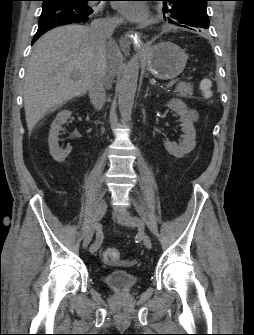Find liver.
<instances>
[{"mask_svg":"<svg viewBox=\"0 0 254 335\" xmlns=\"http://www.w3.org/2000/svg\"><path fill=\"white\" fill-rule=\"evenodd\" d=\"M121 59L115 41L94 43L86 26L66 25L43 35L29 59L23 87L28 130H33L49 111L84 95L100 63L106 67L110 88Z\"/></svg>","mask_w":254,"mask_h":335,"instance_id":"6515ba94","label":"liver"}]
</instances>
